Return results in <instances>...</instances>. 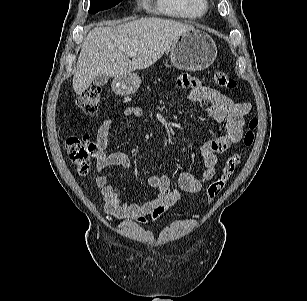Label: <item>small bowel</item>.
Masks as SVG:
<instances>
[{
  "instance_id": "small-bowel-1",
  "label": "small bowel",
  "mask_w": 307,
  "mask_h": 301,
  "mask_svg": "<svg viewBox=\"0 0 307 301\" xmlns=\"http://www.w3.org/2000/svg\"><path fill=\"white\" fill-rule=\"evenodd\" d=\"M183 87H189L188 100L191 103H207V114L218 124H223L225 131L207 143L201 149V158L204 171L200 178L192 173L184 172L179 177V189H173L166 175H154L147 181L148 185L157 190V197L148 202L138 204L123 200L115 187L108 184V177L103 171L111 166L129 168L131 161L124 152L107 153L109 132L113 120H103L97 129L96 140L98 146L95 178L97 187L101 190L104 204L103 208L109 219H127L140 224L148 223L147 216L153 222L160 218L170 207L175 205L182 193H197L202 185L210 181L216 174L218 156L232 145L238 143L243 135L244 117L250 112L251 105L247 102H234L225 94L196 80L183 76L179 80ZM126 117L139 118L142 111L139 107L129 106L123 110Z\"/></svg>"
}]
</instances>
